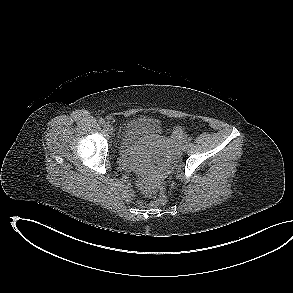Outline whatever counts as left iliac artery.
Wrapping results in <instances>:
<instances>
[{
    "mask_svg": "<svg viewBox=\"0 0 293 293\" xmlns=\"http://www.w3.org/2000/svg\"><path fill=\"white\" fill-rule=\"evenodd\" d=\"M192 140V137H188V142H190Z\"/></svg>",
    "mask_w": 293,
    "mask_h": 293,
    "instance_id": "44dca946",
    "label": "left iliac artery"
}]
</instances>
